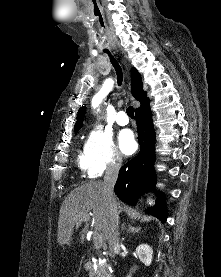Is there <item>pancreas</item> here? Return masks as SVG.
I'll return each mask as SVG.
<instances>
[{
    "instance_id": "1",
    "label": "pancreas",
    "mask_w": 221,
    "mask_h": 277,
    "mask_svg": "<svg viewBox=\"0 0 221 277\" xmlns=\"http://www.w3.org/2000/svg\"><path fill=\"white\" fill-rule=\"evenodd\" d=\"M89 275H90V277H93L94 275L96 277H110L107 267L101 265L100 263H97V269L96 270L93 267H90Z\"/></svg>"
}]
</instances>
